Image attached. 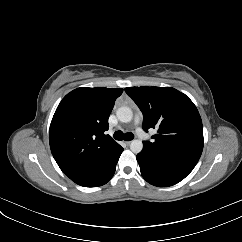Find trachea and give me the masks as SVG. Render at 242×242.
I'll use <instances>...</instances> for the list:
<instances>
[{
    "label": "trachea",
    "instance_id": "3493384b",
    "mask_svg": "<svg viewBox=\"0 0 242 242\" xmlns=\"http://www.w3.org/2000/svg\"><path fill=\"white\" fill-rule=\"evenodd\" d=\"M113 136L116 140H126V141H131L134 138V135L131 132H127L124 134L120 130L116 131Z\"/></svg>",
    "mask_w": 242,
    "mask_h": 242
}]
</instances>
